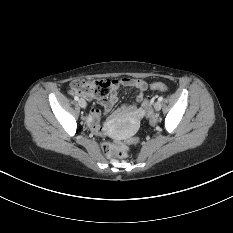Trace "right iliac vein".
Masks as SVG:
<instances>
[{
  "instance_id": "obj_1",
  "label": "right iliac vein",
  "mask_w": 233,
  "mask_h": 233,
  "mask_svg": "<svg viewBox=\"0 0 233 233\" xmlns=\"http://www.w3.org/2000/svg\"><path fill=\"white\" fill-rule=\"evenodd\" d=\"M78 103H79V106L82 108H85L87 106L86 101L84 99H80Z\"/></svg>"
}]
</instances>
